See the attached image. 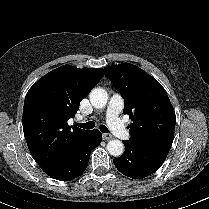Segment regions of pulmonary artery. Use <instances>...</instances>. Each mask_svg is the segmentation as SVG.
Segmentation results:
<instances>
[{
    "label": "pulmonary artery",
    "mask_w": 209,
    "mask_h": 209,
    "mask_svg": "<svg viewBox=\"0 0 209 209\" xmlns=\"http://www.w3.org/2000/svg\"><path fill=\"white\" fill-rule=\"evenodd\" d=\"M124 107V101L121 96L114 94L110 100L106 112V121L109 129L118 138L123 140H129L131 138V133L123 125L121 119L119 118V113Z\"/></svg>",
    "instance_id": "1"
}]
</instances>
